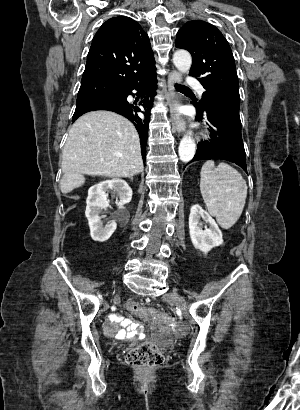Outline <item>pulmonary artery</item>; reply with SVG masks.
<instances>
[{"label":"pulmonary artery","instance_id":"pulmonary-artery-1","mask_svg":"<svg viewBox=\"0 0 300 410\" xmlns=\"http://www.w3.org/2000/svg\"><path fill=\"white\" fill-rule=\"evenodd\" d=\"M187 84L190 87L195 88L200 95H202L204 93V88L199 84L197 79L190 77V78L187 79Z\"/></svg>","mask_w":300,"mask_h":410}]
</instances>
